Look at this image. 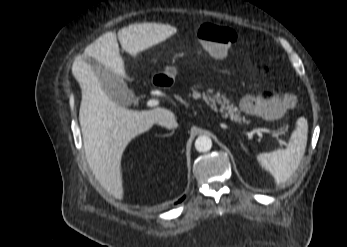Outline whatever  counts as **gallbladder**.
<instances>
[{
	"label": "gallbladder",
	"instance_id": "gallbladder-1",
	"mask_svg": "<svg viewBox=\"0 0 347 247\" xmlns=\"http://www.w3.org/2000/svg\"><path fill=\"white\" fill-rule=\"evenodd\" d=\"M86 62L91 65L101 83L103 91L115 103L121 106H128L135 102L136 97L133 91L128 89L125 81L120 76L113 73L93 58L88 57Z\"/></svg>",
	"mask_w": 347,
	"mask_h": 247
}]
</instances>
